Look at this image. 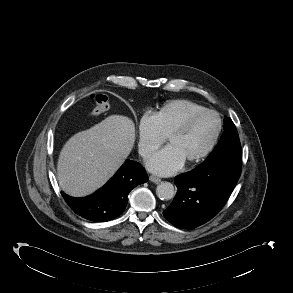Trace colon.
<instances>
[{
    "label": "colon",
    "mask_w": 293,
    "mask_h": 293,
    "mask_svg": "<svg viewBox=\"0 0 293 293\" xmlns=\"http://www.w3.org/2000/svg\"><path fill=\"white\" fill-rule=\"evenodd\" d=\"M91 100L94 104V107L91 111L93 116H98L105 113L110 107L109 98L103 93L92 94Z\"/></svg>",
    "instance_id": "colon-1"
}]
</instances>
